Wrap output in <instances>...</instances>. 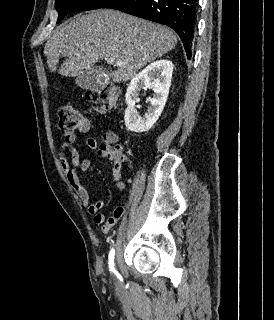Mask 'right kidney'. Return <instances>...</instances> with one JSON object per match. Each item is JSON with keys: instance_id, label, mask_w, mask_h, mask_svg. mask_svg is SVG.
Listing matches in <instances>:
<instances>
[{"instance_id": "obj_1", "label": "right kidney", "mask_w": 274, "mask_h": 320, "mask_svg": "<svg viewBox=\"0 0 274 320\" xmlns=\"http://www.w3.org/2000/svg\"><path fill=\"white\" fill-rule=\"evenodd\" d=\"M173 66L170 60H157L131 80L125 94L127 108L124 114L125 126L129 132H136V134L149 132L157 122L168 98ZM143 88H151L154 94L153 98H148L147 102H150V106L142 118L136 110V104L139 102V92Z\"/></svg>"}]
</instances>
